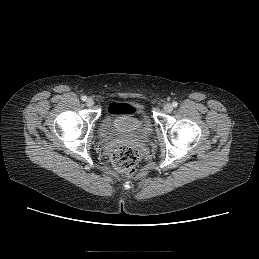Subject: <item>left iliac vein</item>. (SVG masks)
I'll return each mask as SVG.
<instances>
[{
    "label": "left iliac vein",
    "mask_w": 259,
    "mask_h": 259,
    "mask_svg": "<svg viewBox=\"0 0 259 259\" xmlns=\"http://www.w3.org/2000/svg\"><path fill=\"white\" fill-rule=\"evenodd\" d=\"M163 109L165 112L170 113L173 110V106L170 103H167L164 105Z\"/></svg>",
    "instance_id": "1"
}]
</instances>
